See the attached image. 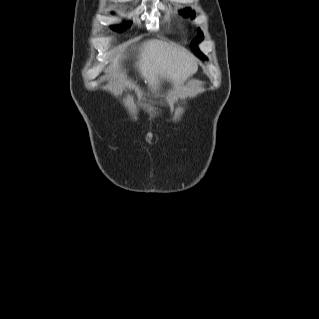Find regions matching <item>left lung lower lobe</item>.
Masks as SVG:
<instances>
[{
    "label": "left lung lower lobe",
    "mask_w": 319,
    "mask_h": 319,
    "mask_svg": "<svg viewBox=\"0 0 319 319\" xmlns=\"http://www.w3.org/2000/svg\"><path fill=\"white\" fill-rule=\"evenodd\" d=\"M199 58L204 59V56L202 54L197 55Z\"/></svg>",
    "instance_id": "1"
}]
</instances>
